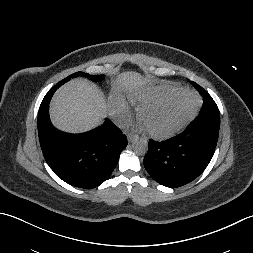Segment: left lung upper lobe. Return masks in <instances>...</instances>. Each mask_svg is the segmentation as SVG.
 <instances>
[{"label": "left lung upper lobe", "instance_id": "left-lung-upper-lobe-1", "mask_svg": "<svg viewBox=\"0 0 253 253\" xmlns=\"http://www.w3.org/2000/svg\"><path fill=\"white\" fill-rule=\"evenodd\" d=\"M193 85L200 91L203 96V106L200 113H215L219 114L218 107L212 97L198 84L192 82Z\"/></svg>", "mask_w": 253, "mask_h": 253}]
</instances>
